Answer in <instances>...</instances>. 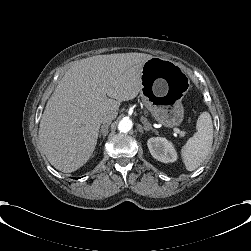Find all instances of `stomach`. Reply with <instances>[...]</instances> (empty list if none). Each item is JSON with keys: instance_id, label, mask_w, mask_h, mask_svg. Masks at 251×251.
I'll list each match as a JSON object with an SVG mask.
<instances>
[{"instance_id": "obj_1", "label": "stomach", "mask_w": 251, "mask_h": 251, "mask_svg": "<svg viewBox=\"0 0 251 251\" xmlns=\"http://www.w3.org/2000/svg\"><path fill=\"white\" fill-rule=\"evenodd\" d=\"M189 88L190 80L177 63L159 57L144 62L139 93L145 106L164 125L174 126L182 121L181 100Z\"/></svg>"}]
</instances>
